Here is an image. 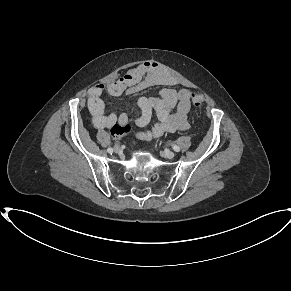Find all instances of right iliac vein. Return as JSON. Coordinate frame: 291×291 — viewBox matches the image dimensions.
<instances>
[{
  "mask_svg": "<svg viewBox=\"0 0 291 291\" xmlns=\"http://www.w3.org/2000/svg\"><path fill=\"white\" fill-rule=\"evenodd\" d=\"M115 150H116V152H118V151H119V148H118V147H116V149H115Z\"/></svg>",
  "mask_w": 291,
  "mask_h": 291,
  "instance_id": "63e3f726",
  "label": "right iliac vein"
}]
</instances>
